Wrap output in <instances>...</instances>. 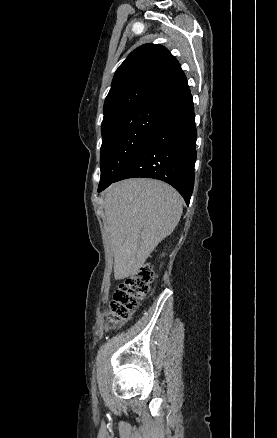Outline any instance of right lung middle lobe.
<instances>
[{"instance_id": "1", "label": "right lung middle lobe", "mask_w": 277, "mask_h": 438, "mask_svg": "<svg viewBox=\"0 0 277 438\" xmlns=\"http://www.w3.org/2000/svg\"><path fill=\"white\" fill-rule=\"evenodd\" d=\"M164 113L163 110H156L136 116L117 115L103 120L99 185L117 177L143 146Z\"/></svg>"}]
</instances>
